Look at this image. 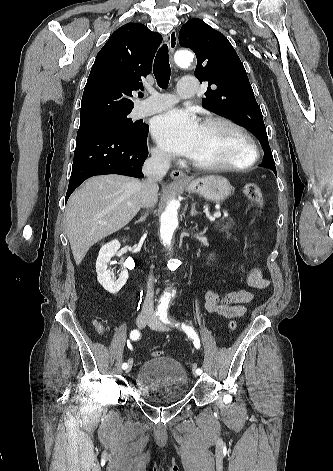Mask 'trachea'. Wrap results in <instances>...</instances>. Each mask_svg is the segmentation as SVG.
Instances as JSON below:
<instances>
[{
	"mask_svg": "<svg viewBox=\"0 0 333 471\" xmlns=\"http://www.w3.org/2000/svg\"><path fill=\"white\" fill-rule=\"evenodd\" d=\"M170 72L168 47L164 44L158 50L153 66V73L160 88L164 89L168 86Z\"/></svg>",
	"mask_w": 333,
	"mask_h": 471,
	"instance_id": "1",
	"label": "trachea"
}]
</instances>
